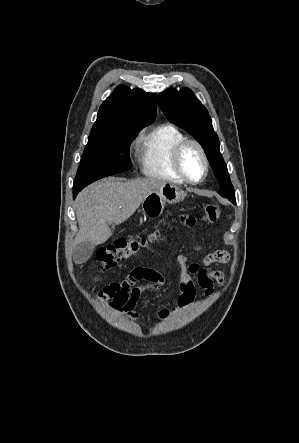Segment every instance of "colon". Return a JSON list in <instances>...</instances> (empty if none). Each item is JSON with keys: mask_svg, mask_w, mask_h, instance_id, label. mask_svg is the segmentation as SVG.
<instances>
[{"mask_svg": "<svg viewBox=\"0 0 299 443\" xmlns=\"http://www.w3.org/2000/svg\"><path fill=\"white\" fill-rule=\"evenodd\" d=\"M221 217V208L217 202L208 203L205 207L203 220L214 224ZM156 239L152 234L148 237H120L112 244L100 248L97 252V260L103 270L115 267L123 259L136 255L142 248Z\"/></svg>", "mask_w": 299, "mask_h": 443, "instance_id": "colon-1", "label": "colon"}]
</instances>
